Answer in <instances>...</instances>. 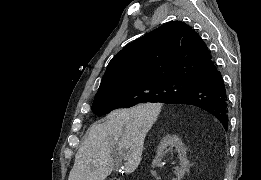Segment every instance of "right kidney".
I'll return each mask as SVG.
<instances>
[{"mask_svg": "<svg viewBox=\"0 0 261 180\" xmlns=\"http://www.w3.org/2000/svg\"><path fill=\"white\" fill-rule=\"evenodd\" d=\"M168 146H173V148H176L180 160V168L176 170L177 178L178 180H181L183 178L186 170H188L189 162L187 160L186 156V148H184V144H182L180 138L178 136H165V138H162L158 148H157V156L155 160H153L154 166L156 164H159L163 158L164 150L168 148Z\"/></svg>", "mask_w": 261, "mask_h": 180, "instance_id": "ca27d5eb", "label": "right kidney"}]
</instances>
